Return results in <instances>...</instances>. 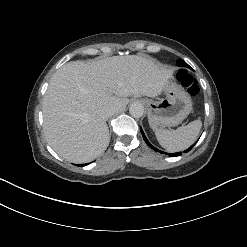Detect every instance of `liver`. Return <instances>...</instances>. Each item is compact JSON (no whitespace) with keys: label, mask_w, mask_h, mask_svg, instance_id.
Wrapping results in <instances>:
<instances>
[{"label":"liver","mask_w":247,"mask_h":247,"mask_svg":"<svg viewBox=\"0 0 247 247\" xmlns=\"http://www.w3.org/2000/svg\"><path fill=\"white\" fill-rule=\"evenodd\" d=\"M173 71L140 55L72 61L52 76L43 100L48 144L73 163L92 161L109 144L102 110L123 111L128 97H156Z\"/></svg>","instance_id":"obj_1"}]
</instances>
